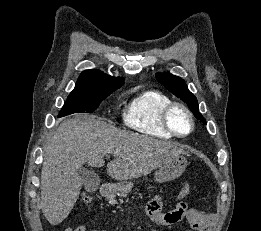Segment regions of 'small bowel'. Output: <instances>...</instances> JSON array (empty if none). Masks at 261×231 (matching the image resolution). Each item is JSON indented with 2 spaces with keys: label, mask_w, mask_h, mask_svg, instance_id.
Here are the masks:
<instances>
[{
  "label": "small bowel",
  "mask_w": 261,
  "mask_h": 231,
  "mask_svg": "<svg viewBox=\"0 0 261 231\" xmlns=\"http://www.w3.org/2000/svg\"><path fill=\"white\" fill-rule=\"evenodd\" d=\"M187 195L188 193L183 194L180 192L178 198L182 199ZM147 209L152 222L154 224L162 225V226H173L183 218L189 221L190 216L193 212V210L189 209L187 204L181 200L176 204V206L173 209L167 212H163V201L158 196L149 201ZM64 231H87V227L85 225H80L74 229L68 227ZM93 231H98V230H93ZM205 231H212V227L209 226Z\"/></svg>",
  "instance_id": "obj_1"
}]
</instances>
